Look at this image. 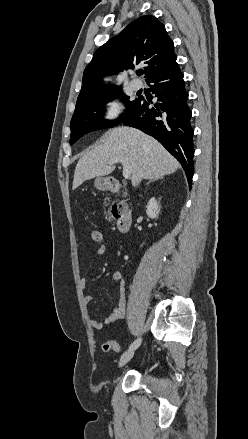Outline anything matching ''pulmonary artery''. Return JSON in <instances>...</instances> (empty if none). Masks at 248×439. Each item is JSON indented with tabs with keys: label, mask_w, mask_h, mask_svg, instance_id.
Wrapping results in <instances>:
<instances>
[{
	"label": "pulmonary artery",
	"mask_w": 248,
	"mask_h": 439,
	"mask_svg": "<svg viewBox=\"0 0 248 439\" xmlns=\"http://www.w3.org/2000/svg\"><path fill=\"white\" fill-rule=\"evenodd\" d=\"M130 86H131V88L133 89V90H139V89H141L142 88V82L140 81V80H138V79H133V80H131V82H130Z\"/></svg>",
	"instance_id": "1"
}]
</instances>
